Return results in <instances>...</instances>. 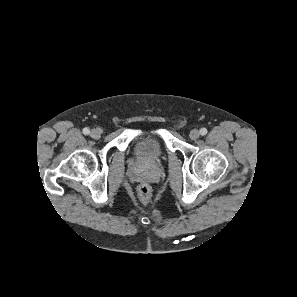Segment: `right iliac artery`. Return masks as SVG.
<instances>
[{"instance_id": "1", "label": "right iliac artery", "mask_w": 297, "mask_h": 297, "mask_svg": "<svg viewBox=\"0 0 297 297\" xmlns=\"http://www.w3.org/2000/svg\"><path fill=\"white\" fill-rule=\"evenodd\" d=\"M89 132H90L89 128L86 127L83 129V134L87 135L89 134Z\"/></svg>"}]
</instances>
